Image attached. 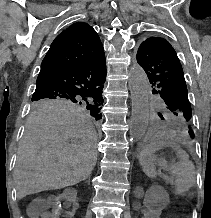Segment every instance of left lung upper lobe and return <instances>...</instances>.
I'll use <instances>...</instances> for the list:
<instances>
[{
    "instance_id": "obj_1",
    "label": "left lung upper lobe",
    "mask_w": 211,
    "mask_h": 218,
    "mask_svg": "<svg viewBox=\"0 0 211 218\" xmlns=\"http://www.w3.org/2000/svg\"><path fill=\"white\" fill-rule=\"evenodd\" d=\"M137 62L144 69L152 93L159 97L158 116L176 135L190 142L194 138L192 112L180 61L168 41L150 37L140 45Z\"/></svg>"
}]
</instances>
